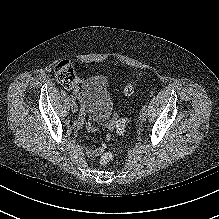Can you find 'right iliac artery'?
Here are the masks:
<instances>
[{"label":"right iliac artery","instance_id":"82829eb1","mask_svg":"<svg viewBox=\"0 0 219 219\" xmlns=\"http://www.w3.org/2000/svg\"><path fill=\"white\" fill-rule=\"evenodd\" d=\"M70 99H71V101H75V97L72 95L71 97H70Z\"/></svg>","mask_w":219,"mask_h":219}]
</instances>
